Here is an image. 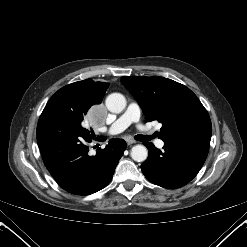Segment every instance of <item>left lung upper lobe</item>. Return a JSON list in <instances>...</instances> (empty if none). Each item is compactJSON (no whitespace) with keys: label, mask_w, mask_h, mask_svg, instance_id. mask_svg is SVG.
<instances>
[{"label":"left lung upper lobe","mask_w":247,"mask_h":247,"mask_svg":"<svg viewBox=\"0 0 247 247\" xmlns=\"http://www.w3.org/2000/svg\"><path fill=\"white\" fill-rule=\"evenodd\" d=\"M146 115L145 120L162 123L163 141L191 134L211 135L208 112L186 86L164 77L129 76L121 78Z\"/></svg>","instance_id":"1"}]
</instances>
